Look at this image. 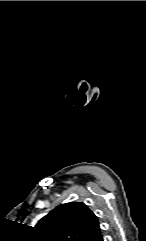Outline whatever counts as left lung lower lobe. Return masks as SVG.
Listing matches in <instances>:
<instances>
[{"instance_id": "left-lung-lower-lobe-1", "label": "left lung lower lobe", "mask_w": 146, "mask_h": 241, "mask_svg": "<svg viewBox=\"0 0 146 241\" xmlns=\"http://www.w3.org/2000/svg\"><path fill=\"white\" fill-rule=\"evenodd\" d=\"M85 241H104L101 234V230H99L96 234L88 237Z\"/></svg>"}]
</instances>
